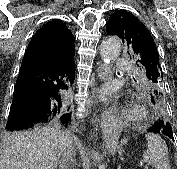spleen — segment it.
I'll return each instance as SVG.
<instances>
[{"instance_id": "1", "label": "spleen", "mask_w": 177, "mask_h": 169, "mask_svg": "<svg viewBox=\"0 0 177 169\" xmlns=\"http://www.w3.org/2000/svg\"><path fill=\"white\" fill-rule=\"evenodd\" d=\"M147 149L143 158L155 169H172L169 162L168 148L165 141L157 134L148 133Z\"/></svg>"}]
</instances>
